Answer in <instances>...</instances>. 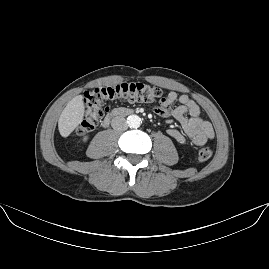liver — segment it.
<instances>
[{"mask_svg":"<svg viewBox=\"0 0 269 269\" xmlns=\"http://www.w3.org/2000/svg\"><path fill=\"white\" fill-rule=\"evenodd\" d=\"M84 113L82 96H75L63 109L58 120L59 131L62 136H68L80 123Z\"/></svg>","mask_w":269,"mask_h":269,"instance_id":"6515ba94","label":"liver"}]
</instances>
